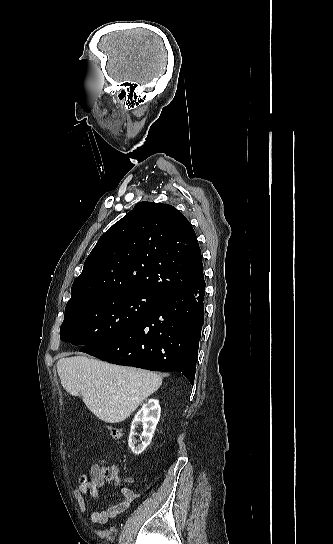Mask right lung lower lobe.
<instances>
[{"label": "right lung lower lobe", "instance_id": "1", "mask_svg": "<svg viewBox=\"0 0 333 544\" xmlns=\"http://www.w3.org/2000/svg\"><path fill=\"white\" fill-rule=\"evenodd\" d=\"M204 278L164 296L128 331L85 352L101 360L153 371H178L193 385L204 322Z\"/></svg>", "mask_w": 333, "mask_h": 544}]
</instances>
